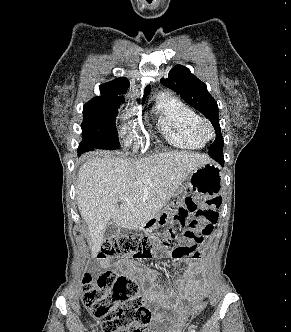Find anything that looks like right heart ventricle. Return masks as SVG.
<instances>
[{
  "mask_svg": "<svg viewBox=\"0 0 291 332\" xmlns=\"http://www.w3.org/2000/svg\"><path fill=\"white\" fill-rule=\"evenodd\" d=\"M155 111L159 115V128L164 138L182 149H200L204 146L195 132L200 116L183 100L168 96L157 101Z\"/></svg>",
  "mask_w": 291,
  "mask_h": 332,
  "instance_id": "right-heart-ventricle-1",
  "label": "right heart ventricle"
}]
</instances>
